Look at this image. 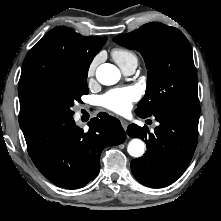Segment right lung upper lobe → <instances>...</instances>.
Listing matches in <instances>:
<instances>
[{
	"label": "right lung upper lobe",
	"mask_w": 221,
	"mask_h": 221,
	"mask_svg": "<svg viewBox=\"0 0 221 221\" xmlns=\"http://www.w3.org/2000/svg\"><path fill=\"white\" fill-rule=\"evenodd\" d=\"M106 40V37L82 36L59 26L34 45L24 59L18 84L20 126L27 123L24 110L26 96L58 73L79 67L90 60L92 62Z\"/></svg>",
	"instance_id": "1"
}]
</instances>
